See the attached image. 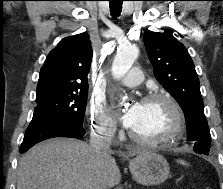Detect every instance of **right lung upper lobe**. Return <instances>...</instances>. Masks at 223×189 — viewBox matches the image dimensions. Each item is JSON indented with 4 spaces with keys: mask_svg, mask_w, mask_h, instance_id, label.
<instances>
[{
    "mask_svg": "<svg viewBox=\"0 0 223 189\" xmlns=\"http://www.w3.org/2000/svg\"><path fill=\"white\" fill-rule=\"evenodd\" d=\"M89 37L81 33L60 41L41 68L37 92L88 88L92 60Z\"/></svg>",
    "mask_w": 223,
    "mask_h": 189,
    "instance_id": "obj_1",
    "label": "right lung upper lobe"
}]
</instances>
